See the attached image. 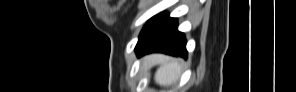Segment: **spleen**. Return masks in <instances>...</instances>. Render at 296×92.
I'll return each instance as SVG.
<instances>
[{
	"instance_id": "spleen-1",
	"label": "spleen",
	"mask_w": 296,
	"mask_h": 92,
	"mask_svg": "<svg viewBox=\"0 0 296 92\" xmlns=\"http://www.w3.org/2000/svg\"><path fill=\"white\" fill-rule=\"evenodd\" d=\"M160 67L155 73V81L161 86L172 84L179 77L181 73L180 64L167 57H160Z\"/></svg>"
}]
</instances>
